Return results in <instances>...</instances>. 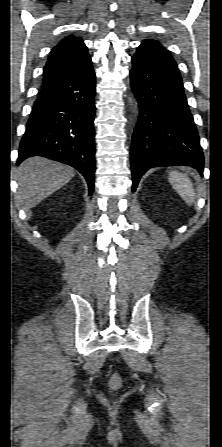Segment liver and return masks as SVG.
I'll list each match as a JSON object with an SVG mask.
<instances>
[{
  "label": "liver",
  "instance_id": "1",
  "mask_svg": "<svg viewBox=\"0 0 222 447\" xmlns=\"http://www.w3.org/2000/svg\"><path fill=\"white\" fill-rule=\"evenodd\" d=\"M74 175V169L68 165L31 157L17 171L18 199L24 209L29 210L67 184Z\"/></svg>",
  "mask_w": 222,
  "mask_h": 447
}]
</instances>
